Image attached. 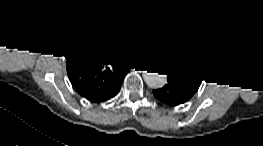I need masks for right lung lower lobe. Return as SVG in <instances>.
<instances>
[{
    "label": "right lung lower lobe",
    "instance_id": "obj_1",
    "mask_svg": "<svg viewBox=\"0 0 263 146\" xmlns=\"http://www.w3.org/2000/svg\"><path fill=\"white\" fill-rule=\"evenodd\" d=\"M122 82H123V81H122ZM121 84H122V83H121ZM121 84L115 89V91L113 92V95H112V96H110V97H108V98H106V99H102V100L97 101V102L105 101V100H108V99L114 97V96L119 92L120 87H121Z\"/></svg>",
    "mask_w": 263,
    "mask_h": 146
}]
</instances>
